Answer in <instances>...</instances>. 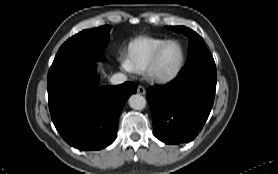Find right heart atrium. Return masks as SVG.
I'll use <instances>...</instances> for the list:
<instances>
[{"mask_svg": "<svg viewBox=\"0 0 278 174\" xmlns=\"http://www.w3.org/2000/svg\"><path fill=\"white\" fill-rule=\"evenodd\" d=\"M120 64H121V67H122L124 70H126V71H128V72L134 71L133 68H132V66H131V64H130V62H129V59H128V58H125V57L121 58V59H120Z\"/></svg>", "mask_w": 278, "mask_h": 174, "instance_id": "obj_1", "label": "right heart atrium"}]
</instances>
